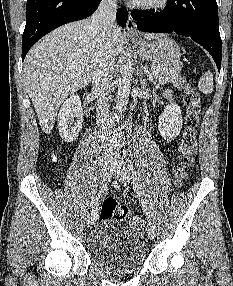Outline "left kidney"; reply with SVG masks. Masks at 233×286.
<instances>
[{"mask_svg":"<svg viewBox=\"0 0 233 286\" xmlns=\"http://www.w3.org/2000/svg\"><path fill=\"white\" fill-rule=\"evenodd\" d=\"M182 124L183 120L180 107L170 102L158 119L160 134L165 140L172 141L179 135Z\"/></svg>","mask_w":233,"mask_h":286,"instance_id":"5707ae66","label":"left kidney"}]
</instances>
